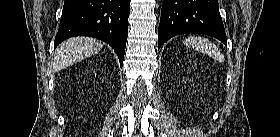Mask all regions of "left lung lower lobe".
Listing matches in <instances>:
<instances>
[{"instance_id": "1", "label": "left lung lower lobe", "mask_w": 280, "mask_h": 137, "mask_svg": "<svg viewBox=\"0 0 280 137\" xmlns=\"http://www.w3.org/2000/svg\"><path fill=\"white\" fill-rule=\"evenodd\" d=\"M207 34L226 44L218 0H163L158 48L179 34Z\"/></svg>"}]
</instances>
